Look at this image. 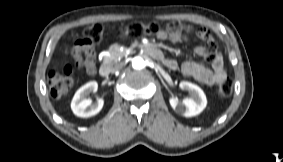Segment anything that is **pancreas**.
<instances>
[{
	"mask_svg": "<svg viewBox=\"0 0 283 162\" xmlns=\"http://www.w3.org/2000/svg\"><path fill=\"white\" fill-rule=\"evenodd\" d=\"M109 56H105L103 59V63H111V62H116L120 58L124 56V53L120 51V49L117 46L111 47L109 50Z\"/></svg>",
	"mask_w": 283,
	"mask_h": 162,
	"instance_id": "obj_1",
	"label": "pancreas"
}]
</instances>
